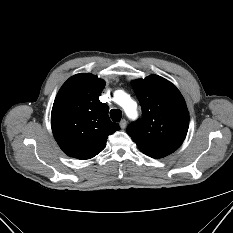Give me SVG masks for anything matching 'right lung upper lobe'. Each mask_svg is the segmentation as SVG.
<instances>
[{
  "label": "right lung upper lobe",
  "mask_w": 233,
  "mask_h": 233,
  "mask_svg": "<svg viewBox=\"0 0 233 233\" xmlns=\"http://www.w3.org/2000/svg\"><path fill=\"white\" fill-rule=\"evenodd\" d=\"M105 82L89 73L70 77L59 90L52 108L51 127L60 148L85 160L100 153L110 134L119 130L111 122L108 106L99 101Z\"/></svg>",
  "instance_id": "cb5924a9"
}]
</instances>
